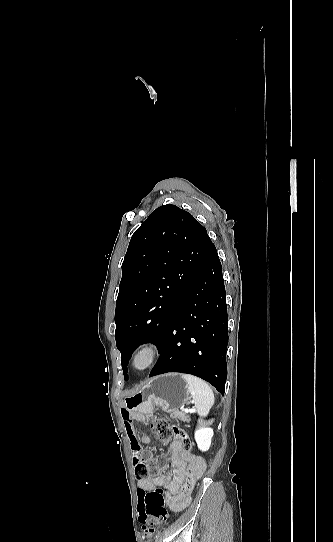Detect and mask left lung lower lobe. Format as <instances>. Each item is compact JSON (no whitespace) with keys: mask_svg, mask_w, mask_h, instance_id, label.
<instances>
[{"mask_svg":"<svg viewBox=\"0 0 333 542\" xmlns=\"http://www.w3.org/2000/svg\"><path fill=\"white\" fill-rule=\"evenodd\" d=\"M228 317L222 266L213 244L182 298L159 347L150 377L181 372L198 376L222 395L227 379Z\"/></svg>","mask_w":333,"mask_h":542,"instance_id":"obj_1","label":"left lung lower lobe"}]
</instances>
